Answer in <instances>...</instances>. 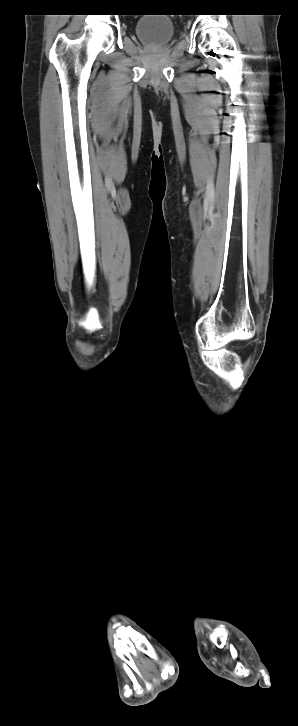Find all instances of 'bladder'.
<instances>
[{"mask_svg": "<svg viewBox=\"0 0 298 726\" xmlns=\"http://www.w3.org/2000/svg\"><path fill=\"white\" fill-rule=\"evenodd\" d=\"M164 14H144L134 24L136 36L145 44L160 47L174 37V25Z\"/></svg>", "mask_w": 298, "mask_h": 726, "instance_id": "31cf9c89", "label": "bladder"}]
</instances>
